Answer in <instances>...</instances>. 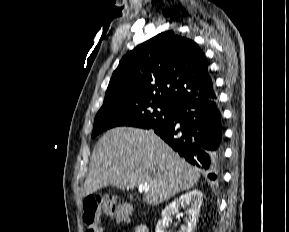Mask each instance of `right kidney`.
Listing matches in <instances>:
<instances>
[{
  "label": "right kidney",
  "mask_w": 289,
  "mask_h": 232,
  "mask_svg": "<svg viewBox=\"0 0 289 232\" xmlns=\"http://www.w3.org/2000/svg\"><path fill=\"white\" fill-rule=\"evenodd\" d=\"M203 201V194L201 191L194 189L189 191L164 208L161 213V219L157 222L155 232H167V227L171 221V216L179 212L180 207H187L188 218L186 225L181 227L180 232H192L196 226L199 217L200 207Z\"/></svg>",
  "instance_id": "right-kidney-1"
}]
</instances>
